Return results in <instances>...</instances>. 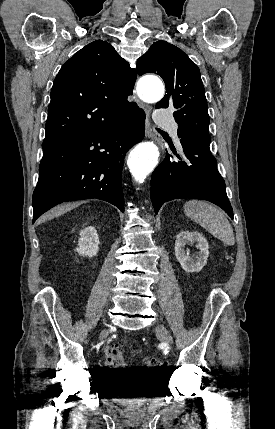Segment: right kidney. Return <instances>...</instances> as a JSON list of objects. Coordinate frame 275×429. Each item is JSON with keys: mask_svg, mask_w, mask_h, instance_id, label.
Here are the masks:
<instances>
[{"mask_svg": "<svg viewBox=\"0 0 275 429\" xmlns=\"http://www.w3.org/2000/svg\"><path fill=\"white\" fill-rule=\"evenodd\" d=\"M98 245L99 238L94 227L88 226L80 231V238L78 240V248L76 251L81 256H95L99 250Z\"/></svg>", "mask_w": 275, "mask_h": 429, "instance_id": "1", "label": "right kidney"}]
</instances>
